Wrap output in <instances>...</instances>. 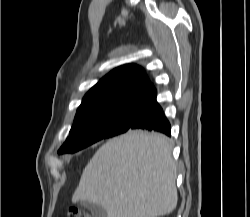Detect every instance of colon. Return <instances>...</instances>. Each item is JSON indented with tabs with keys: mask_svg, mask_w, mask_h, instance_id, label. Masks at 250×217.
Here are the masks:
<instances>
[{
	"mask_svg": "<svg viewBox=\"0 0 250 217\" xmlns=\"http://www.w3.org/2000/svg\"><path fill=\"white\" fill-rule=\"evenodd\" d=\"M66 217H91V215L79 208H72L67 212Z\"/></svg>",
	"mask_w": 250,
	"mask_h": 217,
	"instance_id": "1",
	"label": "colon"
}]
</instances>
